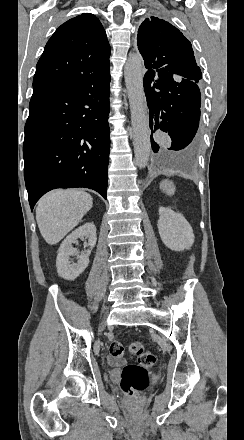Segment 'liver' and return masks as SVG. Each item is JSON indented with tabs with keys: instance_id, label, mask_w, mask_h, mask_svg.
<instances>
[{
	"instance_id": "liver-1",
	"label": "liver",
	"mask_w": 244,
	"mask_h": 440,
	"mask_svg": "<svg viewBox=\"0 0 244 440\" xmlns=\"http://www.w3.org/2000/svg\"><path fill=\"white\" fill-rule=\"evenodd\" d=\"M93 198L79 190H54L38 202L36 220L47 244H58L91 210Z\"/></svg>"
}]
</instances>
